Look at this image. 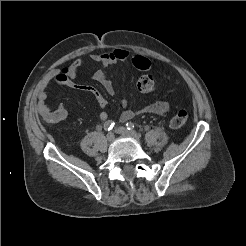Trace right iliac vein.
Here are the masks:
<instances>
[{
  "mask_svg": "<svg viewBox=\"0 0 246 246\" xmlns=\"http://www.w3.org/2000/svg\"><path fill=\"white\" fill-rule=\"evenodd\" d=\"M114 139H115L114 133H113V132H109V133L107 134V140H108L109 142H113Z\"/></svg>",
  "mask_w": 246,
  "mask_h": 246,
  "instance_id": "63e3f726",
  "label": "right iliac vein"
}]
</instances>
